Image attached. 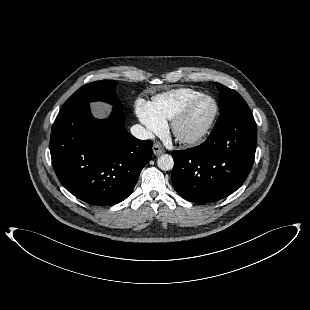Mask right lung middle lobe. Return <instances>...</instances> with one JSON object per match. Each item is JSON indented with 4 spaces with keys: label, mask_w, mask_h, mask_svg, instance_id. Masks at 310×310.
I'll return each instance as SVG.
<instances>
[{
    "label": "right lung middle lobe",
    "mask_w": 310,
    "mask_h": 310,
    "mask_svg": "<svg viewBox=\"0 0 310 310\" xmlns=\"http://www.w3.org/2000/svg\"><path fill=\"white\" fill-rule=\"evenodd\" d=\"M117 82L113 80L95 81L79 88L62 106L61 109L68 108L80 103L92 101H105L115 108L123 110V105L116 95Z\"/></svg>",
    "instance_id": "1"
}]
</instances>
